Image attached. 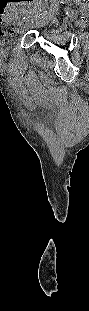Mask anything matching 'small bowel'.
Returning a JSON list of instances; mask_svg holds the SVG:
<instances>
[{"mask_svg": "<svg viewBox=\"0 0 89 311\" xmlns=\"http://www.w3.org/2000/svg\"><path fill=\"white\" fill-rule=\"evenodd\" d=\"M16 17H17V14H15V13L8 14V19H10V20H14V19H16Z\"/></svg>", "mask_w": 89, "mask_h": 311, "instance_id": "obj_1", "label": "small bowel"}]
</instances>
